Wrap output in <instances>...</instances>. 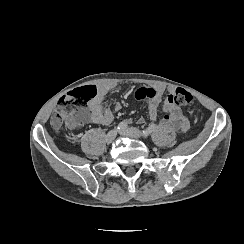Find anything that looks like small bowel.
<instances>
[{
  "mask_svg": "<svg viewBox=\"0 0 244 244\" xmlns=\"http://www.w3.org/2000/svg\"><path fill=\"white\" fill-rule=\"evenodd\" d=\"M114 83L103 82L97 86L96 96L88 104V118L85 122L100 125H109L113 119V113L104 107L103 102L107 94L114 88ZM165 88L147 87L140 88L136 92L139 100L146 101L147 113L150 120H157L159 108L162 107L165 115L161 119V126L169 132L186 133L190 128V123L183 110L172 102L173 90H169L168 96L163 99ZM119 109V105L115 107ZM143 122V119H139ZM80 124V128L82 127Z\"/></svg>",
  "mask_w": 244,
  "mask_h": 244,
  "instance_id": "obj_1",
  "label": "small bowel"
}]
</instances>
